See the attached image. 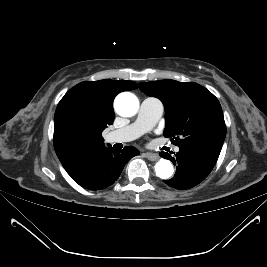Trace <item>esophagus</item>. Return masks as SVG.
Returning <instances> with one entry per match:
<instances>
[{
  "mask_svg": "<svg viewBox=\"0 0 267 267\" xmlns=\"http://www.w3.org/2000/svg\"><path fill=\"white\" fill-rule=\"evenodd\" d=\"M145 156L151 161H157L159 159V155L156 153L146 152Z\"/></svg>",
  "mask_w": 267,
  "mask_h": 267,
  "instance_id": "34e87169",
  "label": "esophagus"
}]
</instances>
